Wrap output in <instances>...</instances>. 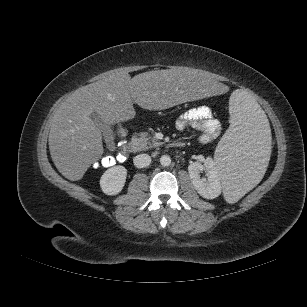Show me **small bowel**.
Listing matches in <instances>:
<instances>
[{"instance_id": "obj_1", "label": "small bowel", "mask_w": 307, "mask_h": 307, "mask_svg": "<svg viewBox=\"0 0 307 307\" xmlns=\"http://www.w3.org/2000/svg\"><path fill=\"white\" fill-rule=\"evenodd\" d=\"M176 128L179 131H184L188 128L200 131V140L203 143L217 138L222 130L220 121L213 116L211 109L207 106H199L188 110L177 119Z\"/></svg>"}]
</instances>
